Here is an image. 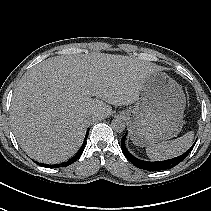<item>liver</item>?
Listing matches in <instances>:
<instances>
[{
	"instance_id": "1",
	"label": "liver",
	"mask_w": 211,
	"mask_h": 211,
	"mask_svg": "<svg viewBox=\"0 0 211 211\" xmlns=\"http://www.w3.org/2000/svg\"><path fill=\"white\" fill-rule=\"evenodd\" d=\"M158 68L128 56H57L25 72L14 90L11 121L22 149L39 162L56 164L82 145L92 120L112 107L131 105ZM95 96V98H92Z\"/></svg>"
}]
</instances>
